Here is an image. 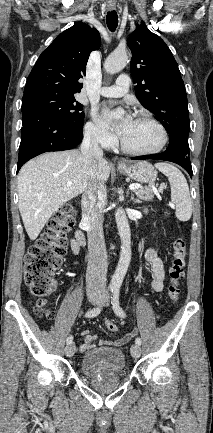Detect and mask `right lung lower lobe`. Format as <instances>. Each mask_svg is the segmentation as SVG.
<instances>
[{
  "instance_id": "right-lung-lower-lobe-1",
  "label": "right lung lower lobe",
  "mask_w": 213,
  "mask_h": 433,
  "mask_svg": "<svg viewBox=\"0 0 213 433\" xmlns=\"http://www.w3.org/2000/svg\"><path fill=\"white\" fill-rule=\"evenodd\" d=\"M22 126L17 172L29 159L44 152L73 149L83 138L82 130L36 109L22 111Z\"/></svg>"
}]
</instances>
